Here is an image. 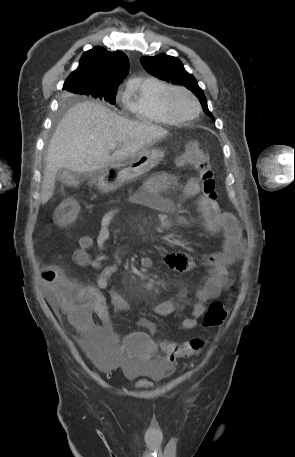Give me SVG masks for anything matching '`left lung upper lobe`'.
<instances>
[{
  "label": "left lung upper lobe",
  "instance_id": "1",
  "mask_svg": "<svg viewBox=\"0 0 295 457\" xmlns=\"http://www.w3.org/2000/svg\"><path fill=\"white\" fill-rule=\"evenodd\" d=\"M140 62L144 69L151 75L160 79L174 81L191 90L200 99L204 112L214 119L208 110L207 99L203 90L198 86L196 79L186 72L182 62L178 58L160 54L155 57H142Z\"/></svg>",
  "mask_w": 295,
  "mask_h": 457
}]
</instances>
